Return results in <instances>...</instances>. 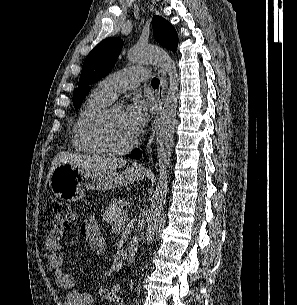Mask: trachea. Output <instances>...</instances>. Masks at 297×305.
Masks as SVG:
<instances>
[{"label":"trachea","instance_id":"obj_1","mask_svg":"<svg viewBox=\"0 0 297 305\" xmlns=\"http://www.w3.org/2000/svg\"><path fill=\"white\" fill-rule=\"evenodd\" d=\"M159 83H160V81H159L158 78H153L152 82H151V85H152V87H158Z\"/></svg>","mask_w":297,"mask_h":305}]
</instances>
